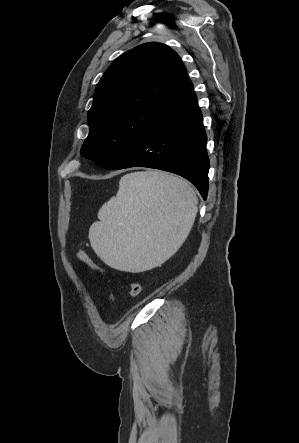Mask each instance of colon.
Returning a JSON list of instances; mask_svg holds the SVG:
<instances>
[{
    "label": "colon",
    "mask_w": 299,
    "mask_h": 443,
    "mask_svg": "<svg viewBox=\"0 0 299 443\" xmlns=\"http://www.w3.org/2000/svg\"><path fill=\"white\" fill-rule=\"evenodd\" d=\"M76 256L80 261H82L83 263H85L86 265L91 267L92 269H95L100 272H105V270L101 266H99L94 261V259L88 253H86L84 250L77 249ZM141 291H142V286L139 282H137V281L130 282L131 297H133V298L138 297L140 295Z\"/></svg>",
    "instance_id": "colon-1"
}]
</instances>
